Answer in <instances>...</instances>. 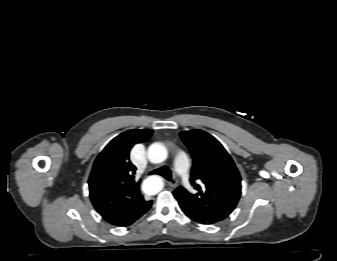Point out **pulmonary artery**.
<instances>
[{
  "mask_svg": "<svg viewBox=\"0 0 337 261\" xmlns=\"http://www.w3.org/2000/svg\"><path fill=\"white\" fill-rule=\"evenodd\" d=\"M174 167L183 184L189 188V160L187 156L183 153L178 154L174 160Z\"/></svg>",
  "mask_w": 337,
  "mask_h": 261,
  "instance_id": "1",
  "label": "pulmonary artery"
}]
</instances>
